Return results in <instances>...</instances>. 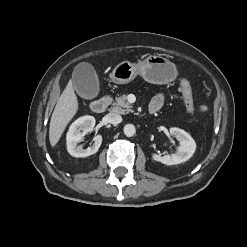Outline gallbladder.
<instances>
[{
  "label": "gallbladder",
  "mask_w": 247,
  "mask_h": 247,
  "mask_svg": "<svg viewBox=\"0 0 247 247\" xmlns=\"http://www.w3.org/2000/svg\"><path fill=\"white\" fill-rule=\"evenodd\" d=\"M74 88L84 99H93L99 93V81L94 67L82 62L76 65L72 74Z\"/></svg>",
  "instance_id": "1"
}]
</instances>
